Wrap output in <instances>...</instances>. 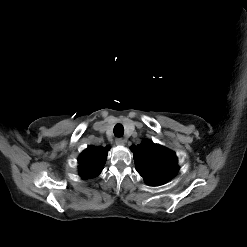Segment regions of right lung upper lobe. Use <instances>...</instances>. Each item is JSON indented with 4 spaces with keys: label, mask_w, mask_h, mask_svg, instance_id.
I'll return each mask as SVG.
<instances>
[{
    "label": "right lung upper lobe",
    "mask_w": 247,
    "mask_h": 247,
    "mask_svg": "<svg viewBox=\"0 0 247 247\" xmlns=\"http://www.w3.org/2000/svg\"><path fill=\"white\" fill-rule=\"evenodd\" d=\"M109 147L89 146L78 158L80 176L90 179L98 176L106 162Z\"/></svg>",
    "instance_id": "1"
}]
</instances>
